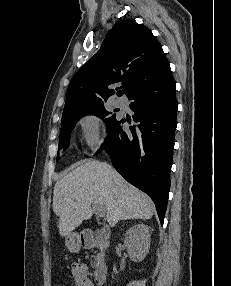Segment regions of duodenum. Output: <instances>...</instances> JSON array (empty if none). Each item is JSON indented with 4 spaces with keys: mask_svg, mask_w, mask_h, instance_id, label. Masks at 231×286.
<instances>
[{
    "mask_svg": "<svg viewBox=\"0 0 231 286\" xmlns=\"http://www.w3.org/2000/svg\"><path fill=\"white\" fill-rule=\"evenodd\" d=\"M80 244L83 248L90 249L96 245L106 247L108 244V236L102 232L87 231L80 235ZM107 277V266L103 262H99L94 270V281L97 285H102Z\"/></svg>",
    "mask_w": 231,
    "mask_h": 286,
    "instance_id": "duodenum-1",
    "label": "duodenum"
}]
</instances>
